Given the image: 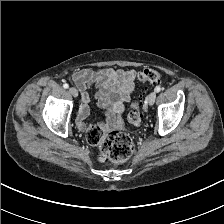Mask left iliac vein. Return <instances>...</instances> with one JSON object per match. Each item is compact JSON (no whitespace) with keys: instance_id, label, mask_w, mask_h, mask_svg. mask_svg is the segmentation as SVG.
I'll use <instances>...</instances> for the list:
<instances>
[{"instance_id":"4c4485c4","label":"left iliac vein","mask_w":224,"mask_h":224,"mask_svg":"<svg viewBox=\"0 0 224 224\" xmlns=\"http://www.w3.org/2000/svg\"><path fill=\"white\" fill-rule=\"evenodd\" d=\"M155 99H156V92L152 91L147 97L148 104L153 105L155 102Z\"/></svg>"}]
</instances>
